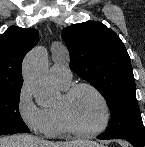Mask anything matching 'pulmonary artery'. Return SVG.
<instances>
[{
  "label": "pulmonary artery",
  "instance_id": "1",
  "mask_svg": "<svg viewBox=\"0 0 145 147\" xmlns=\"http://www.w3.org/2000/svg\"><path fill=\"white\" fill-rule=\"evenodd\" d=\"M50 76L54 81L67 83L72 79V72L64 63H54L50 68Z\"/></svg>",
  "mask_w": 145,
  "mask_h": 147
}]
</instances>
